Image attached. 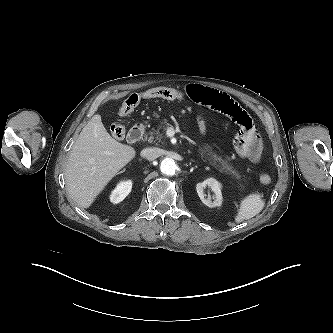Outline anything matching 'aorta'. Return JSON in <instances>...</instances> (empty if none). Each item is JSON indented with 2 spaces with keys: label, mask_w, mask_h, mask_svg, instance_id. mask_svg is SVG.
I'll list each match as a JSON object with an SVG mask.
<instances>
[{
  "label": "aorta",
  "mask_w": 333,
  "mask_h": 333,
  "mask_svg": "<svg viewBox=\"0 0 333 333\" xmlns=\"http://www.w3.org/2000/svg\"><path fill=\"white\" fill-rule=\"evenodd\" d=\"M177 169L175 161L171 158H164L161 161L160 170L163 174L174 175Z\"/></svg>",
  "instance_id": "aorta-1"
}]
</instances>
